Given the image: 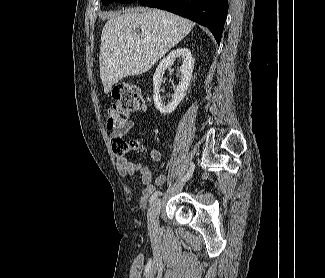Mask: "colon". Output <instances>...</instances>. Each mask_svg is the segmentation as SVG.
I'll use <instances>...</instances> for the list:
<instances>
[{"label": "colon", "mask_w": 325, "mask_h": 278, "mask_svg": "<svg viewBox=\"0 0 325 278\" xmlns=\"http://www.w3.org/2000/svg\"><path fill=\"white\" fill-rule=\"evenodd\" d=\"M147 107L146 101L141 95L140 89L133 85H120L115 87L111 93V103L108 108L107 128L117 130L130 120L133 113L144 111ZM115 151L124 154L128 151H136L139 144L135 140L126 142L121 138L114 141Z\"/></svg>", "instance_id": "5ec220e1"}]
</instances>
